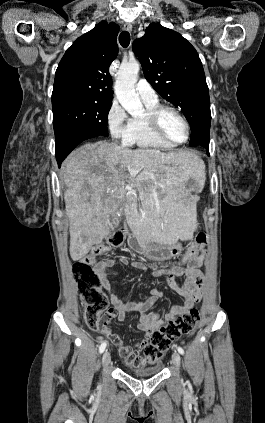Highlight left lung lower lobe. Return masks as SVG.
Masks as SVG:
<instances>
[{
  "label": "left lung lower lobe",
  "mask_w": 265,
  "mask_h": 423,
  "mask_svg": "<svg viewBox=\"0 0 265 423\" xmlns=\"http://www.w3.org/2000/svg\"><path fill=\"white\" fill-rule=\"evenodd\" d=\"M199 146L204 147L208 153L209 152V138L202 139L199 143Z\"/></svg>",
  "instance_id": "obj_1"
}]
</instances>
